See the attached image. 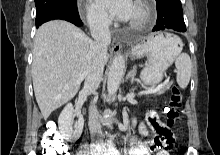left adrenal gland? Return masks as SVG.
Listing matches in <instances>:
<instances>
[{
	"label": "left adrenal gland",
	"instance_id": "1",
	"mask_svg": "<svg viewBox=\"0 0 220 155\" xmlns=\"http://www.w3.org/2000/svg\"><path fill=\"white\" fill-rule=\"evenodd\" d=\"M136 66H134L127 74L126 80L130 79L131 84H133L135 81H137L136 78Z\"/></svg>",
	"mask_w": 220,
	"mask_h": 155
}]
</instances>
